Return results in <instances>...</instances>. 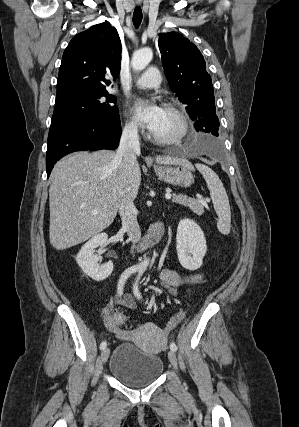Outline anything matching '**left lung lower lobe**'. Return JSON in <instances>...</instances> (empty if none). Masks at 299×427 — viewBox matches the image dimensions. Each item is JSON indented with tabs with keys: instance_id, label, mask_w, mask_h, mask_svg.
I'll return each mask as SVG.
<instances>
[{
	"instance_id": "obj_1",
	"label": "left lung lower lobe",
	"mask_w": 299,
	"mask_h": 427,
	"mask_svg": "<svg viewBox=\"0 0 299 427\" xmlns=\"http://www.w3.org/2000/svg\"><path fill=\"white\" fill-rule=\"evenodd\" d=\"M204 111H202V112H200V116H201V119H198V120H195L196 122H195V128L198 130V131H203V132H206V133H209V127H208V121L210 120L209 119V117H206V114L205 113H203ZM203 149L204 150H206V151H211V152H213V153H216L217 155H220V152H219V148L218 147H212V148H209V147H203Z\"/></svg>"
}]
</instances>
